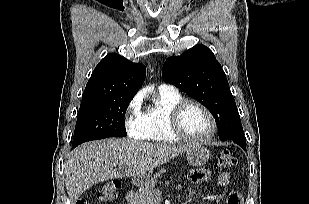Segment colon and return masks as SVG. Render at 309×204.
<instances>
[{
  "label": "colon",
  "instance_id": "obj_1",
  "mask_svg": "<svg viewBox=\"0 0 309 204\" xmlns=\"http://www.w3.org/2000/svg\"><path fill=\"white\" fill-rule=\"evenodd\" d=\"M235 162L236 160L234 156L228 150H223L219 152L217 155L215 167L217 170H226L233 167L235 165ZM118 189L119 186L115 182L105 183L99 192V199L103 202H110L115 200L118 196ZM230 201L236 204H241L240 200L236 197H232ZM75 204H89V203L85 199H80L76 201Z\"/></svg>",
  "mask_w": 309,
  "mask_h": 204
}]
</instances>
